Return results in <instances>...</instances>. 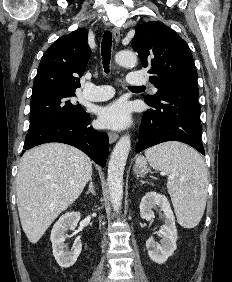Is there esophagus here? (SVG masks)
I'll return each instance as SVG.
<instances>
[{"label":"esophagus","instance_id":"obj_1","mask_svg":"<svg viewBox=\"0 0 232 282\" xmlns=\"http://www.w3.org/2000/svg\"><path fill=\"white\" fill-rule=\"evenodd\" d=\"M113 37L116 43L119 42L120 39V30L117 27L112 29ZM110 143H114L118 139V134L114 132L108 133Z\"/></svg>","mask_w":232,"mask_h":282}]
</instances>
